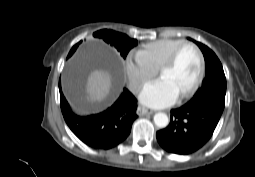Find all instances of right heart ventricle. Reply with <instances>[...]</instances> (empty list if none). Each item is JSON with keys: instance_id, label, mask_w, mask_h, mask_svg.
<instances>
[{"instance_id": "right-heart-ventricle-1", "label": "right heart ventricle", "mask_w": 255, "mask_h": 177, "mask_svg": "<svg viewBox=\"0 0 255 177\" xmlns=\"http://www.w3.org/2000/svg\"><path fill=\"white\" fill-rule=\"evenodd\" d=\"M182 39H160L145 44L139 53L156 69H159L162 64L169 58L173 50L180 45Z\"/></svg>"}]
</instances>
